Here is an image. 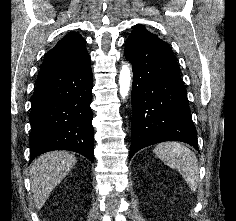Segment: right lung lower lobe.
Returning <instances> with one entry per match:
<instances>
[{
    "label": "right lung lower lobe",
    "mask_w": 236,
    "mask_h": 221,
    "mask_svg": "<svg viewBox=\"0 0 236 221\" xmlns=\"http://www.w3.org/2000/svg\"><path fill=\"white\" fill-rule=\"evenodd\" d=\"M93 78L90 59L39 74L29 116L30 163L52 150H69L94 161Z\"/></svg>",
    "instance_id": "right-lung-lower-lobe-1"
}]
</instances>
